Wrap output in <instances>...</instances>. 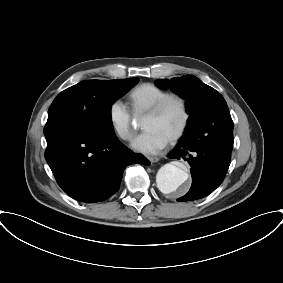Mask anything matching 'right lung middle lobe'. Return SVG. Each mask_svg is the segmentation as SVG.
<instances>
[{
    "instance_id": "1",
    "label": "right lung middle lobe",
    "mask_w": 283,
    "mask_h": 283,
    "mask_svg": "<svg viewBox=\"0 0 283 283\" xmlns=\"http://www.w3.org/2000/svg\"><path fill=\"white\" fill-rule=\"evenodd\" d=\"M138 80H86L64 90L49 107L44 128L46 141L71 133H114L111 106Z\"/></svg>"
}]
</instances>
